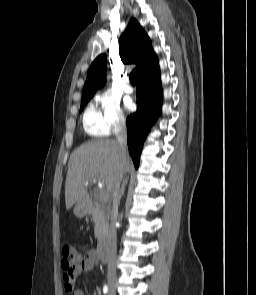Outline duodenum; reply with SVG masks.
Returning <instances> with one entry per match:
<instances>
[{"instance_id":"410a0bca","label":"duodenum","mask_w":256,"mask_h":295,"mask_svg":"<svg viewBox=\"0 0 256 295\" xmlns=\"http://www.w3.org/2000/svg\"><path fill=\"white\" fill-rule=\"evenodd\" d=\"M88 205H89L88 202H83L82 203V206L84 208H87ZM97 255H98V258H99V260L101 262H103V263L108 262V260H109V249H108L106 244H104V243L99 244L98 249H97Z\"/></svg>"}]
</instances>
